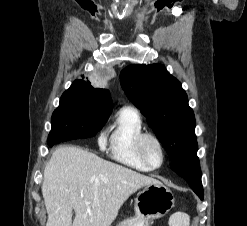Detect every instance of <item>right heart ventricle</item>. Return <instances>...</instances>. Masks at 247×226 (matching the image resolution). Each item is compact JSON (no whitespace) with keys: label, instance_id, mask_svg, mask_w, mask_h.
<instances>
[{"label":"right heart ventricle","instance_id":"obj_1","mask_svg":"<svg viewBox=\"0 0 247 226\" xmlns=\"http://www.w3.org/2000/svg\"><path fill=\"white\" fill-rule=\"evenodd\" d=\"M144 132L139 113L130 107L122 108L108 130V151L117 162L139 171L151 169L142 162L136 150V140Z\"/></svg>","mask_w":247,"mask_h":226}]
</instances>
